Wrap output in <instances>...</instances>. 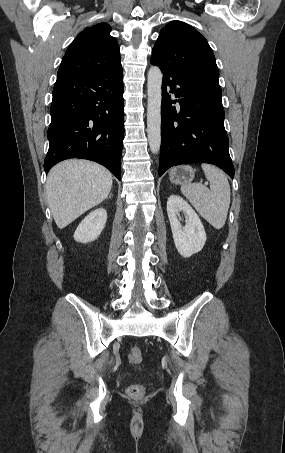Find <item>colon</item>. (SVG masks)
Wrapping results in <instances>:
<instances>
[{
    "label": "colon",
    "mask_w": 285,
    "mask_h": 453,
    "mask_svg": "<svg viewBox=\"0 0 285 453\" xmlns=\"http://www.w3.org/2000/svg\"><path fill=\"white\" fill-rule=\"evenodd\" d=\"M129 363L135 367L139 366L143 360V352L139 347H133L128 355ZM145 387L142 384H134L128 387L127 394L134 399L143 396Z\"/></svg>",
    "instance_id": "5ec220e1"
}]
</instances>
